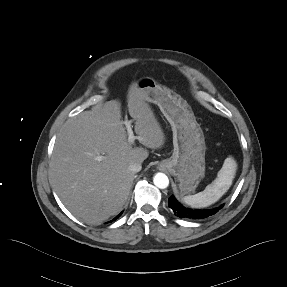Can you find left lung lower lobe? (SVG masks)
I'll return each instance as SVG.
<instances>
[{
	"label": "left lung lower lobe",
	"instance_id": "left-lung-lower-lobe-1",
	"mask_svg": "<svg viewBox=\"0 0 287 287\" xmlns=\"http://www.w3.org/2000/svg\"><path fill=\"white\" fill-rule=\"evenodd\" d=\"M169 207L172 209L175 215L180 218H191V219H202L208 216L214 215L217 213L222 207L210 209V210H192L183 207L174 196H171L168 201Z\"/></svg>",
	"mask_w": 287,
	"mask_h": 287
}]
</instances>
